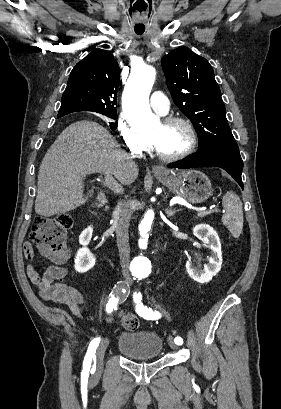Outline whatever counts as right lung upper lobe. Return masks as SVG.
Listing matches in <instances>:
<instances>
[{
	"label": "right lung upper lobe",
	"instance_id": "right-lung-upper-lobe-1",
	"mask_svg": "<svg viewBox=\"0 0 281 409\" xmlns=\"http://www.w3.org/2000/svg\"><path fill=\"white\" fill-rule=\"evenodd\" d=\"M119 78L114 57L102 49L92 51L71 71L57 118L77 111L116 112Z\"/></svg>",
	"mask_w": 281,
	"mask_h": 409
}]
</instances>
